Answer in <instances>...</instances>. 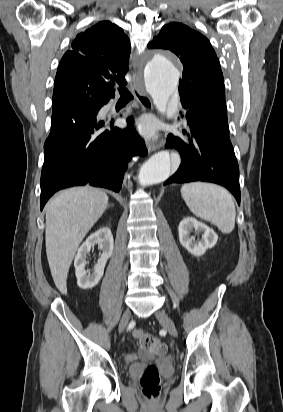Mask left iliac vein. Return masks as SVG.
<instances>
[{
  "label": "left iliac vein",
  "mask_w": 283,
  "mask_h": 412,
  "mask_svg": "<svg viewBox=\"0 0 283 412\" xmlns=\"http://www.w3.org/2000/svg\"><path fill=\"white\" fill-rule=\"evenodd\" d=\"M155 316L171 336H177V329L175 327L174 322L168 317V315L164 311H157L155 313Z\"/></svg>",
  "instance_id": "obj_1"
}]
</instances>
